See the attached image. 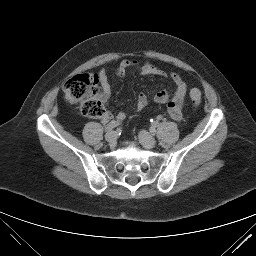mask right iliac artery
Instances as JSON below:
<instances>
[{
  "label": "right iliac artery",
  "instance_id": "82829eb1",
  "mask_svg": "<svg viewBox=\"0 0 256 256\" xmlns=\"http://www.w3.org/2000/svg\"><path fill=\"white\" fill-rule=\"evenodd\" d=\"M121 123L119 121H111L108 125L105 126L106 131H110L115 127L119 126Z\"/></svg>",
  "mask_w": 256,
  "mask_h": 256
}]
</instances>
